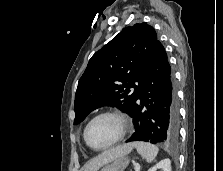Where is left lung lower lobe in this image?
Instances as JSON below:
<instances>
[{
    "label": "left lung lower lobe",
    "mask_w": 223,
    "mask_h": 171,
    "mask_svg": "<svg viewBox=\"0 0 223 171\" xmlns=\"http://www.w3.org/2000/svg\"><path fill=\"white\" fill-rule=\"evenodd\" d=\"M131 117L135 132L127 140L173 144L179 136V107L171 66L159 42L139 87Z\"/></svg>",
    "instance_id": "1"
}]
</instances>
